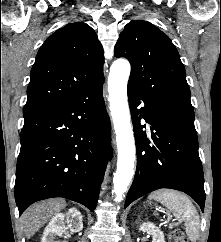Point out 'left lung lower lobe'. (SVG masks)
<instances>
[{"label": "left lung lower lobe", "instance_id": "0a47b994", "mask_svg": "<svg viewBox=\"0 0 221 242\" xmlns=\"http://www.w3.org/2000/svg\"><path fill=\"white\" fill-rule=\"evenodd\" d=\"M136 140L137 169L125 208L156 189L170 188L191 196L204 210L205 191L194 119L157 108L128 87ZM144 103L140 110L137 106ZM141 118L152 125L146 135Z\"/></svg>", "mask_w": 221, "mask_h": 242}]
</instances>
